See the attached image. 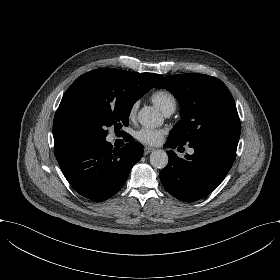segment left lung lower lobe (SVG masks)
Segmentation results:
<instances>
[{
    "label": "left lung lower lobe",
    "mask_w": 280,
    "mask_h": 280,
    "mask_svg": "<svg viewBox=\"0 0 280 280\" xmlns=\"http://www.w3.org/2000/svg\"><path fill=\"white\" fill-rule=\"evenodd\" d=\"M239 140L205 139L189 142L194 149L192 155L179 158L173 151H167L168 165L161 170V182L172 196L194 202L210 194L225 178L230 170ZM183 145L168 137L165 146L176 148Z\"/></svg>",
    "instance_id": "left-lung-lower-lobe-1"
}]
</instances>
